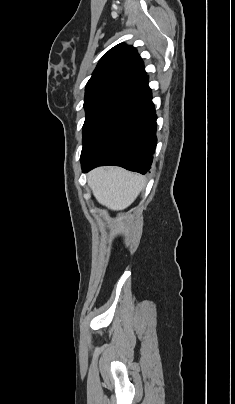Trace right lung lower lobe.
Instances as JSON below:
<instances>
[{
    "instance_id": "obj_1",
    "label": "right lung lower lobe",
    "mask_w": 235,
    "mask_h": 404,
    "mask_svg": "<svg viewBox=\"0 0 235 404\" xmlns=\"http://www.w3.org/2000/svg\"><path fill=\"white\" fill-rule=\"evenodd\" d=\"M156 142V114L144 76L128 86L83 142L82 171L117 165L145 174Z\"/></svg>"
}]
</instances>
